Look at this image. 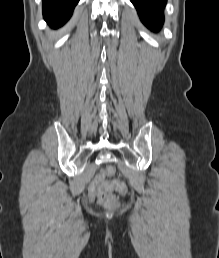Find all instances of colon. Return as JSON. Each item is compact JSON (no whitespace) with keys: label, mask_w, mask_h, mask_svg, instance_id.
<instances>
[{"label":"colon","mask_w":219,"mask_h":258,"mask_svg":"<svg viewBox=\"0 0 219 258\" xmlns=\"http://www.w3.org/2000/svg\"><path fill=\"white\" fill-rule=\"evenodd\" d=\"M116 170L113 166L104 168L91 182L89 186V197L97 199V201L106 207H115L117 204L113 191H117L122 195L128 192L125 183L119 179L113 178ZM109 178V180H105Z\"/></svg>","instance_id":"5ec220e1"}]
</instances>
